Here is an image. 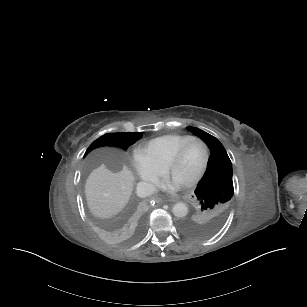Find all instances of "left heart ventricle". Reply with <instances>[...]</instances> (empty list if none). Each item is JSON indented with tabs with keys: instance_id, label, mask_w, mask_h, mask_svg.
I'll list each match as a JSON object with an SVG mask.
<instances>
[{
	"instance_id": "b2bd125f",
	"label": "left heart ventricle",
	"mask_w": 307,
	"mask_h": 307,
	"mask_svg": "<svg viewBox=\"0 0 307 307\" xmlns=\"http://www.w3.org/2000/svg\"><path fill=\"white\" fill-rule=\"evenodd\" d=\"M204 161V146L198 142H191L182 158L170 167L167 178L184 186L201 168Z\"/></svg>"
}]
</instances>
